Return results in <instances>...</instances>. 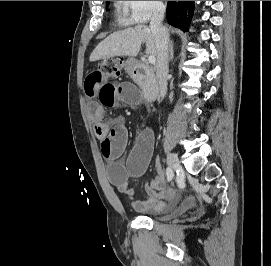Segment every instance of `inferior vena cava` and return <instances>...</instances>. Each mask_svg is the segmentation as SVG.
<instances>
[{
  "instance_id": "1",
  "label": "inferior vena cava",
  "mask_w": 271,
  "mask_h": 266,
  "mask_svg": "<svg viewBox=\"0 0 271 266\" xmlns=\"http://www.w3.org/2000/svg\"><path fill=\"white\" fill-rule=\"evenodd\" d=\"M166 7L159 3L152 13L150 29L155 37L157 48L156 75L158 78L160 97L164 98L167 92V75L169 60V35L162 25Z\"/></svg>"
}]
</instances>
